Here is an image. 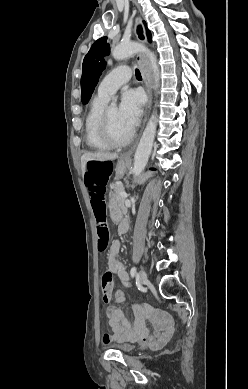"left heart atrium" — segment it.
Listing matches in <instances>:
<instances>
[{"mask_svg":"<svg viewBox=\"0 0 248 389\" xmlns=\"http://www.w3.org/2000/svg\"><path fill=\"white\" fill-rule=\"evenodd\" d=\"M143 97L140 92L132 89L122 93L119 105V115L126 126L133 130L142 114Z\"/></svg>","mask_w":248,"mask_h":389,"instance_id":"obj_1","label":"left heart atrium"}]
</instances>
